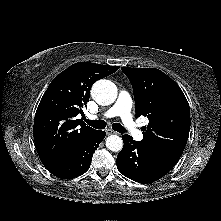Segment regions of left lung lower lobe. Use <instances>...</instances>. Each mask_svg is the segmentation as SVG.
<instances>
[{
    "label": "left lung lower lobe",
    "mask_w": 221,
    "mask_h": 221,
    "mask_svg": "<svg viewBox=\"0 0 221 221\" xmlns=\"http://www.w3.org/2000/svg\"><path fill=\"white\" fill-rule=\"evenodd\" d=\"M124 146L118 153L117 168L121 174L139 183L154 182L176 164L158 152L136 142L130 135L122 136Z\"/></svg>",
    "instance_id": "0a47b994"
}]
</instances>
